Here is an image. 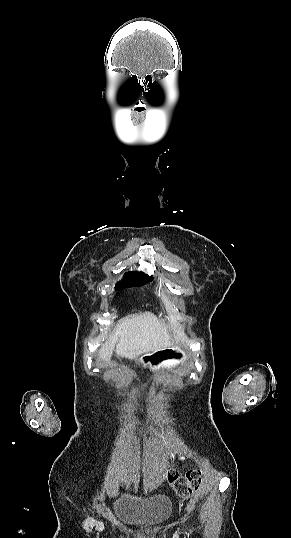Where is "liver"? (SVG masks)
Here are the masks:
<instances>
[{
	"label": "liver",
	"instance_id": "1",
	"mask_svg": "<svg viewBox=\"0 0 291 538\" xmlns=\"http://www.w3.org/2000/svg\"><path fill=\"white\" fill-rule=\"evenodd\" d=\"M116 345L117 356L128 359L165 347L173 340L167 327L151 312L133 314L124 318L100 349V358L108 361Z\"/></svg>",
	"mask_w": 291,
	"mask_h": 538
}]
</instances>
